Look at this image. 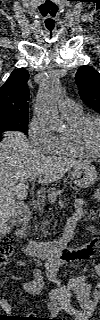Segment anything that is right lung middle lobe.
I'll list each match as a JSON object with an SVG mask.
<instances>
[{
    "instance_id": "right-lung-middle-lobe-1",
    "label": "right lung middle lobe",
    "mask_w": 100,
    "mask_h": 320,
    "mask_svg": "<svg viewBox=\"0 0 100 320\" xmlns=\"http://www.w3.org/2000/svg\"><path fill=\"white\" fill-rule=\"evenodd\" d=\"M27 124V118L0 120V133H3L5 131H21L27 134Z\"/></svg>"
}]
</instances>
